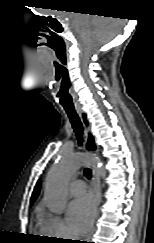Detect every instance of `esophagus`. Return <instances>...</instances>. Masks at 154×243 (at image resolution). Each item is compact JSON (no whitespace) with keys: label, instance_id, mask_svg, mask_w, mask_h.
Listing matches in <instances>:
<instances>
[{"label":"esophagus","instance_id":"34e87169","mask_svg":"<svg viewBox=\"0 0 154 243\" xmlns=\"http://www.w3.org/2000/svg\"><path fill=\"white\" fill-rule=\"evenodd\" d=\"M77 113L85 128L86 151L89 154L96 155L98 152V145L96 142V138L92 132V126L89 121V118H88L87 114L81 109H77ZM92 187H93V194H94V198H95V218H96L98 215V207L101 203V190H100L99 178H98L97 172L94 167H92ZM94 231H95V227L93 225L91 231L89 232V234L87 236L88 240L91 239Z\"/></svg>","mask_w":154,"mask_h":243}]
</instances>
